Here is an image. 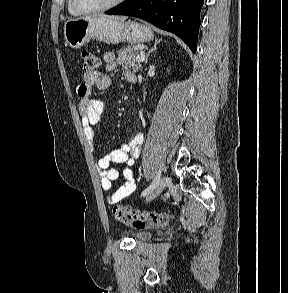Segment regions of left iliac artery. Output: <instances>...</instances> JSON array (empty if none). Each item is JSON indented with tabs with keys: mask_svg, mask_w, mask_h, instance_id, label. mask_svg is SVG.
<instances>
[{
	"mask_svg": "<svg viewBox=\"0 0 288 293\" xmlns=\"http://www.w3.org/2000/svg\"><path fill=\"white\" fill-rule=\"evenodd\" d=\"M160 172L157 173L154 181L142 192L141 196H146L147 194H149L158 184L159 180H160Z\"/></svg>",
	"mask_w": 288,
	"mask_h": 293,
	"instance_id": "1",
	"label": "left iliac artery"
}]
</instances>
